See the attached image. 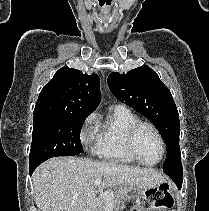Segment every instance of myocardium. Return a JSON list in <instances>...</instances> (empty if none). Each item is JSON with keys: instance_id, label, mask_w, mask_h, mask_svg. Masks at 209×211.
Listing matches in <instances>:
<instances>
[{"instance_id": "myocardium-1", "label": "myocardium", "mask_w": 209, "mask_h": 211, "mask_svg": "<svg viewBox=\"0 0 209 211\" xmlns=\"http://www.w3.org/2000/svg\"><path fill=\"white\" fill-rule=\"evenodd\" d=\"M142 128H148L150 129L158 138L159 143L161 145V155L158 161L154 163H146L144 162L139 155L137 154V151L135 149V141L136 137L139 133V131ZM125 147L128 152V154L139 164L144 165L146 167H154L161 163V161L164 159L165 153H166V144L164 141V138L160 131L154 126L153 124L146 122V121H137L134 123L127 131L126 137H125Z\"/></svg>"}]
</instances>
